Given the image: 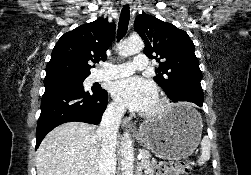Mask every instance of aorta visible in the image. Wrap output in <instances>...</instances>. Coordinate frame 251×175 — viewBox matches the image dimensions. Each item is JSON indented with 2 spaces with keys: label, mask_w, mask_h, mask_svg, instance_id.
<instances>
[{
  "label": "aorta",
  "mask_w": 251,
  "mask_h": 175,
  "mask_svg": "<svg viewBox=\"0 0 251 175\" xmlns=\"http://www.w3.org/2000/svg\"><path fill=\"white\" fill-rule=\"evenodd\" d=\"M144 48V42L141 38H128L122 44H118L119 56H133L139 54ZM121 151V173L122 175H133L134 169V147L132 137L127 129L124 131L120 143Z\"/></svg>",
  "instance_id": "762f6f07"
}]
</instances>
